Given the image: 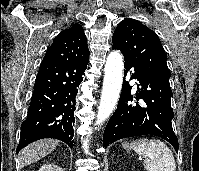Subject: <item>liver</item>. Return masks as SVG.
<instances>
[{"mask_svg": "<svg viewBox=\"0 0 199 171\" xmlns=\"http://www.w3.org/2000/svg\"><path fill=\"white\" fill-rule=\"evenodd\" d=\"M56 139H42L29 144L19 153L21 167L27 166L50 154L58 145Z\"/></svg>", "mask_w": 199, "mask_h": 171, "instance_id": "6515ba94", "label": "liver"}]
</instances>
